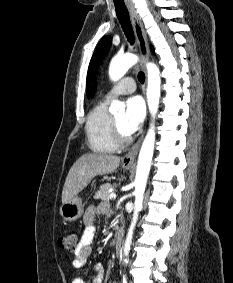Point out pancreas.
<instances>
[{
  "instance_id": "obj_1",
  "label": "pancreas",
  "mask_w": 233,
  "mask_h": 283,
  "mask_svg": "<svg viewBox=\"0 0 233 283\" xmlns=\"http://www.w3.org/2000/svg\"><path fill=\"white\" fill-rule=\"evenodd\" d=\"M114 186H115L114 184H110V183H105L101 185L99 190L95 194V198L101 199L103 201H108L110 195L109 189Z\"/></svg>"
}]
</instances>
